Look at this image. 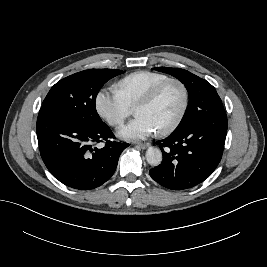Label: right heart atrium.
I'll return each instance as SVG.
<instances>
[{
    "mask_svg": "<svg viewBox=\"0 0 267 267\" xmlns=\"http://www.w3.org/2000/svg\"><path fill=\"white\" fill-rule=\"evenodd\" d=\"M95 108L112 127L121 126L132 114V107L116 91H99L95 97Z\"/></svg>",
    "mask_w": 267,
    "mask_h": 267,
    "instance_id": "d8ad5b80",
    "label": "right heart atrium"
}]
</instances>
